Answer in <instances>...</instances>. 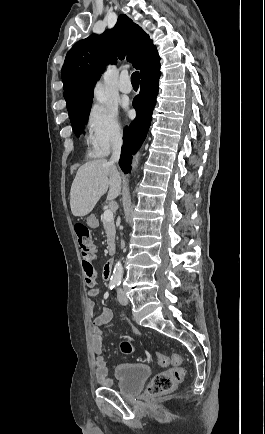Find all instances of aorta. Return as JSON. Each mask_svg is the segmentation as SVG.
I'll return each instance as SVG.
<instances>
[{"mask_svg": "<svg viewBox=\"0 0 265 434\" xmlns=\"http://www.w3.org/2000/svg\"><path fill=\"white\" fill-rule=\"evenodd\" d=\"M94 96L99 102V104H106L107 102V96L105 94V90L102 86V84H96V88L94 90ZM136 162H138V154L135 158V162L133 164V168L136 166ZM113 282H121L123 278V266L121 262H116L114 268H113V274L111 276Z\"/></svg>", "mask_w": 265, "mask_h": 434, "instance_id": "obj_1", "label": "aorta"}]
</instances>
